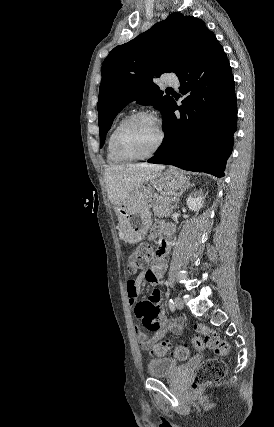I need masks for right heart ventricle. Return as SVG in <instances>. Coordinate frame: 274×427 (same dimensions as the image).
<instances>
[{"label":"right heart ventricle","mask_w":274,"mask_h":427,"mask_svg":"<svg viewBox=\"0 0 274 427\" xmlns=\"http://www.w3.org/2000/svg\"><path fill=\"white\" fill-rule=\"evenodd\" d=\"M116 125H114V127L112 128V130H111V132H110V134H109V136H108V139H107V143H106V158H107V161L110 163V164H123V163H125V161L123 160V159H121L115 152H114V150H113V147H112V134H113V132H114V130L116 129Z\"/></svg>","instance_id":"obj_1"}]
</instances>
